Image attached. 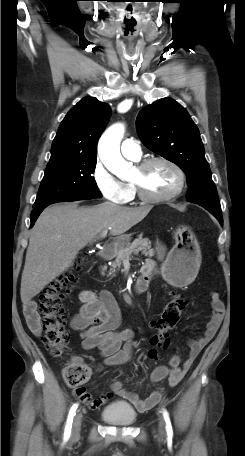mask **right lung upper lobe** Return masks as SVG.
<instances>
[{
	"mask_svg": "<svg viewBox=\"0 0 245 456\" xmlns=\"http://www.w3.org/2000/svg\"><path fill=\"white\" fill-rule=\"evenodd\" d=\"M111 114L108 104L95 97L81 99L65 116L51 147L50 161L97 157V142Z\"/></svg>",
	"mask_w": 245,
	"mask_h": 456,
	"instance_id": "cb5924a9",
	"label": "right lung upper lobe"
}]
</instances>
